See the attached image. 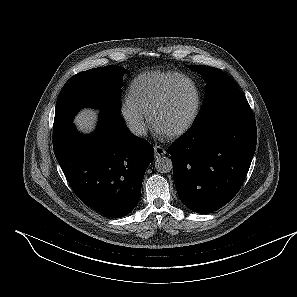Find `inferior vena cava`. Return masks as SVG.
I'll return each instance as SVG.
<instances>
[{
	"mask_svg": "<svg viewBox=\"0 0 297 297\" xmlns=\"http://www.w3.org/2000/svg\"><path fill=\"white\" fill-rule=\"evenodd\" d=\"M129 130L136 136H145L147 134V129L142 121L135 120L129 123Z\"/></svg>",
	"mask_w": 297,
	"mask_h": 297,
	"instance_id": "1",
	"label": "inferior vena cava"
}]
</instances>
